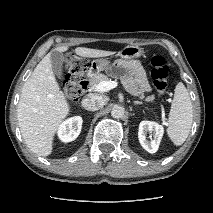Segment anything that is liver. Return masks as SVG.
<instances>
[{
  "mask_svg": "<svg viewBox=\"0 0 213 213\" xmlns=\"http://www.w3.org/2000/svg\"><path fill=\"white\" fill-rule=\"evenodd\" d=\"M54 50L65 52L68 47L60 46ZM75 53L86 58L114 54L112 51L85 47H77ZM69 111V103L60 91L48 53L24 83L17 107L22 137L33 153L39 156H48L52 153L54 136Z\"/></svg>",
  "mask_w": 213,
  "mask_h": 213,
  "instance_id": "1",
  "label": "liver"
}]
</instances>
